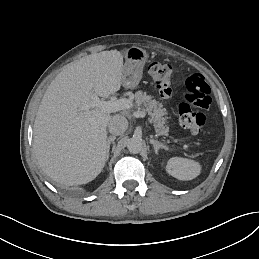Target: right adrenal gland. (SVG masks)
Returning a JSON list of instances; mask_svg holds the SVG:
<instances>
[{
  "label": "right adrenal gland",
  "mask_w": 259,
  "mask_h": 259,
  "mask_svg": "<svg viewBox=\"0 0 259 259\" xmlns=\"http://www.w3.org/2000/svg\"><path fill=\"white\" fill-rule=\"evenodd\" d=\"M115 136H112V137H108L107 139V147H108V154H107V157L109 158V150H110V146L114 143V140H115Z\"/></svg>",
  "instance_id": "2a0ac1e0"
}]
</instances>
